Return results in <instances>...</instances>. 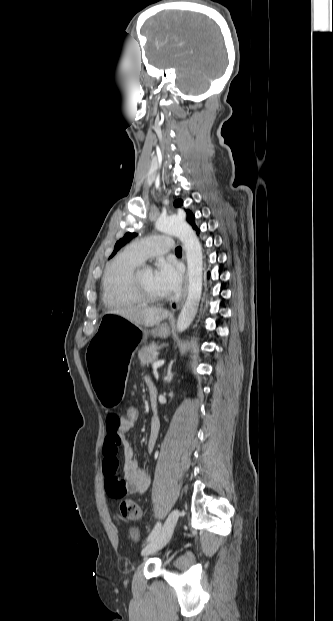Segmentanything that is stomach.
Segmentation results:
<instances>
[{
	"label": "stomach",
	"mask_w": 333,
	"mask_h": 621,
	"mask_svg": "<svg viewBox=\"0 0 333 621\" xmlns=\"http://www.w3.org/2000/svg\"><path fill=\"white\" fill-rule=\"evenodd\" d=\"M149 330L132 322L128 314H107L86 346V372L95 395L109 413L120 407L128 389L126 377L134 347L147 338Z\"/></svg>",
	"instance_id": "0dacf381"
}]
</instances>
